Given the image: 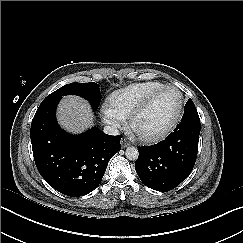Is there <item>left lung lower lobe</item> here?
<instances>
[{
  "label": "left lung lower lobe",
  "instance_id": "obj_1",
  "mask_svg": "<svg viewBox=\"0 0 243 243\" xmlns=\"http://www.w3.org/2000/svg\"><path fill=\"white\" fill-rule=\"evenodd\" d=\"M200 129L198 113L184 114L181 123L167 139L138 147L135 170L143 184L167 192L183 182L195 165Z\"/></svg>",
  "mask_w": 243,
  "mask_h": 243
}]
</instances>
